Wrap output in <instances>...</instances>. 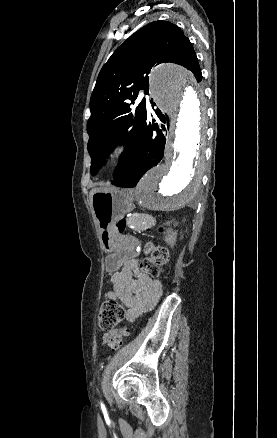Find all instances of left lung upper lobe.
<instances>
[{
  "label": "left lung upper lobe",
  "instance_id": "5c2ea615",
  "mask_svg": "<svg viewBox=\"0 0 277 438\" xmlns=\"http://www.w3.org/2000/svg\"><path fill=\"white\" fill-rule=\"evenodd\" d=\"M173 62L191 70L202 80L196 53L189 39L175 24L151 22L132 34L102 67L90 99L91 116L87 122L91 174L104 165L110 151L128 143L131 151L118 178L133 158L146 126V100L133 106L138 92L148 94V74L153 66ZM152 102V101H151Z\"/></svg>",
  "mask_w": 277,
  "mask_h": 438
}]
</instances>
